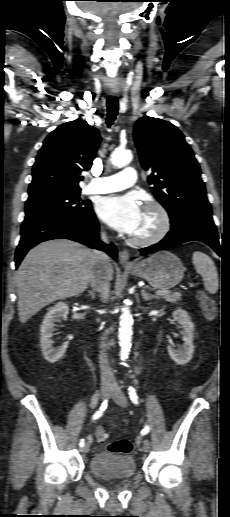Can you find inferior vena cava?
<instances>
[{
	"label": "inferior vena cava",
	"mask_w": 230,
	"mask_h": 517,
	"mask_svg": "<svg viewBox=\"0 0 230 517\" xmlns=\"http://www.w3.org/2000/svg\"><path fill=\"white\" fill-rule=\"evenodd\" d=\"M103 241H106L105 234H102ZM97 258L99 259V265L95 271V273L92 275L90 279V285L92 286L94 291H97L100 293L101 300L103 302H106L109 298V291H110V276L108 275V268H109V257L102 251H95ZM109 331L106 330L101 338V344H100V354H99V360H100V370H101V378L103 380H113L114 379V373L110 367L108 358H107V351L109 349L108 343H107V336Z\"/></svg>",
	"instance_id": "602c4592"
}]
</instances>
